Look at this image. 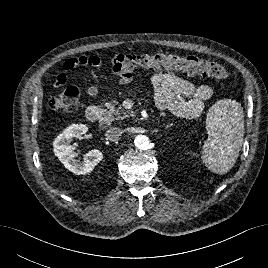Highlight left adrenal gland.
Masks as SVG:
<instances>
[{
	"mask_svg": "<svg viewBox=\"0 0 268 268\" xmlns=\"http://www.w3.org/2000/svg\"><path fill=\"white\" fill-rule=\"evenodd\" d=\"M171 126H173V123L167 125V126H166V129L170 128Z\"/></svg>",
	"mask_w": 268,
	"mask_h": 268,
	"instance_id": "obj_1",
	"label": "left adrenal gland"
}]
</instances>
